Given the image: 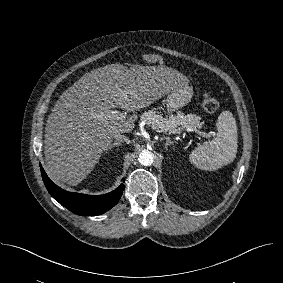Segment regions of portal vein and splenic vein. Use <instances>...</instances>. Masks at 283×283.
Returning <instances> with one entry per match:
<instances>
[{
	"instance_id": "18ae733b",
	"label": "portal vein and splenic vein",
	"mask_w": 283,
	"mask_h": 283,
	"mask_svg": "<svg viewBox=\"0 0 283 283\" xmlns=\"http://www.w3.org/2000/svg\"><path fill=\"white\" fill-rule=\"evenodd\" d=\"M98 118L99 119H105V120H108V119H112V120H124L125 119V115L123 113H120L118 111H112L110 113H106V112H103L101 113L100 115H98ZM190 130V129H188ZM181 130H176V131H173L171 132L172 134L174 133H180Z\"/></svg>"
}]
</instances>
